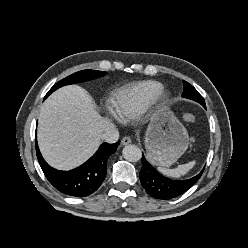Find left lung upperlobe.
Wrapping results in <instances>:
<instances>
[{
    "label": "left lung upper lobe",
    "mask_w": 248,
    "mask_h": 248,
    "mask_svg": "<svg viewBox=\"0 0 248 248\" xmlns=\"http://www.w3.org/2000/svg\"><path fill=\"white\" fill-rule=\"evenodd\" d=\"M183 85H184V89H183L182 96L184 98L194 100L200 103L201 105L206 106L204 98L198 93V91L192 85H190L186 81H183Z\"/></svg>",
    "instance_id": "left-lung-upper-lobe-1"
}]
</instances>
